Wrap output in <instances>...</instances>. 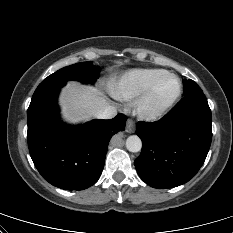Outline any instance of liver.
<instances>
[{"mask_svg":"<svg viewBox=\"0 0 233 233\" xmlns=\"http://www.w3.org/2000/svg\"><path fill=\"white\" fill-rule=\"evenodd\" d=\"M106 103V98L99 89L76 82L68 83L60 96L62 115L69 123L94 117L96 111Z\"/></svg>","mask_w":233,"mask_h":233,"instance_id":"1","label":"liver"}]
</instances>
